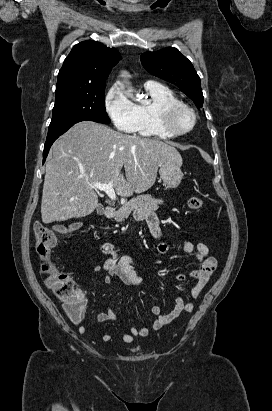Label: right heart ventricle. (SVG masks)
Listing matches in <instances>:
<instances>
[{"mask_svg": "<svg viewBox=\"0 0 272 411\" xmlns=\"http://www.w3.org/2000/svg\"><path fill=\"white\" fill-rule=\"evenodd\" d=\"M145 89L149 101L135 104L137 122L134 132L144 137L169 138L159 125L158 110L164 104L181 100L170 88L156 82L146 83Z\"/></svg>", "mask_w": 272, "mask_h": 411, "instance_id": "obj_1", "label": "right heart ventricle"}]
</instances>
